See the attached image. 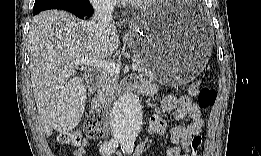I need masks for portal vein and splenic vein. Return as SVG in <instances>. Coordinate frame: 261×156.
I'll use <instances>...</instances> for the list:
<instances>
[{
  "label": "portal vein and splenic vein",
  "instance_id": "1",
  "mask_svg": "<svg viewBox=\"0 0 261 156\" xmlns=\"http://www.w3.org/2000/svg\"><path fill=\"white\" fill-rule=\"evenodd\" d=\"M74 65H86V66H94L100 69H103L105 71H109L112 73H119L121 66L120 64L117 63H112V62H107L102 59H92V58H82L78 59L73 62ZM132 70L137 71L139 68L138 64L133 63L132 64Z\"/></svg>",
  "mask_w": 261,
  "mask_h": 156
}]
</instances>
